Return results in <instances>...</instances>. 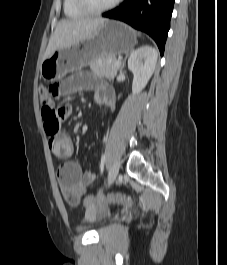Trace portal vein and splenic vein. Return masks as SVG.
<instances>
[{
  "label": "portal vein and splenic vein",
  "mask_w": 227,
  "mask_h": 265,
  "mask_svg": "<svg viewBox=\"0 0 227 265\" xmlns=\"http://www.w3.org/2000/svg\"><path fill=\"white\" fill-rule=\"evenodd\" d=\"M117 66H119L120 65V61L118 60V61H116V63H115Z\"/></svg>",
  "instance_id": "obj_1"
}]
</instances>
